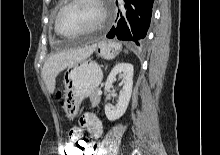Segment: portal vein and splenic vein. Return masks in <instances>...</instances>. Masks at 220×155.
Masks as SVG:
<instances>
[{"instance_id": "obj_1", "label": "portal vein and splenic vein", "mask_w": 220, "mask_h": 155, "mask_svg": "<svg viewBox=\"0 0 220 155\" xmlns=\"http://www.w3.org/2000/svg\"><path fill=\"white\" fill-rule=\"evenodd\" d=\"M98 94H99V95L101 94V91H100V90L98 91Z\"/></svg>"}]
</instances>
